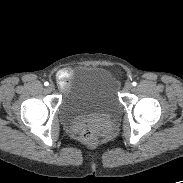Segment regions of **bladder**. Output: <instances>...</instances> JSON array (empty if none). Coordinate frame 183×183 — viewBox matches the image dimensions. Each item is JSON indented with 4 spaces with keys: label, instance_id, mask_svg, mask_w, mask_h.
<instances>
[{
    "label": "bladder",
    "instance_id": "31cf9c89",
    "mask_svg": "<svg viewBox=\"0 0 183 183\" xmlns=\"http://www.w3.org/2000/svg\"><path fill=\"white\" fill-rule=\"evenodd\" d=\"M121 110L113 77L99 67L87 68L79 82L62 96L60 114L75 122L89 116L116 117Z\"/></svg>",
    "mask_w": 183,
    "mask_h": 183
}]
</instances>
